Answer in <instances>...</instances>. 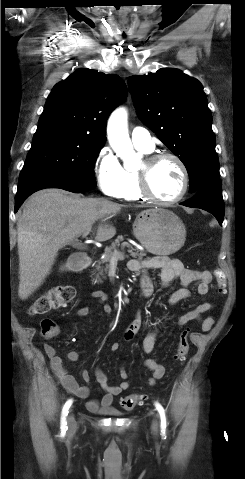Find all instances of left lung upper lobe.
Here are the masks:
<instances>
[{
	"label": "left lung upper lobe",
	"instance_id": "obj_1",
	"mask_svg": "<svg viewBox=\"0 0 245 479\" xmlns=\"http://www.w3.org/2000/svg\"><path fill=\"white\" fill-rule=\"evenodd\" d=\"M137 114L185 165L190 193L219 180L212 115L201 83L174 68L128 80Z\"/></svg>",
	"mask_w": 245,
	"mask_h": 479
}]
</instances>
